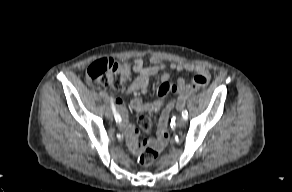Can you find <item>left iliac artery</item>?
I'll return each mask as SVG.
<instances>
[{"instance_id":"left-iliac-artery-1","label":"left iliac artery","mask_w":292,"mask_h":192,"mask_svg":"<svg viewBox=\"0 0 292 192\" xmlns=\"http://www.w3.org/2000/svg\"><path fill=\"white\" fill-rule=\"evenodd\" d=\"M182 117H183L185 120H187V118H188V112H187V110H183V111H182Z\"/></svg>"}]
</instances>
